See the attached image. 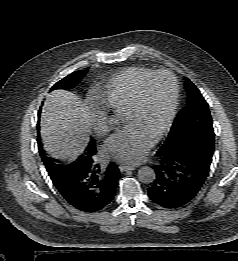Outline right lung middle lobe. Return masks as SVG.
Returning <instances> with one entry per match:
<instances>
[{
    "label": "right lung middle lobe",
    "mask_w": 238,
    "mask_h": 261,
    "mask_svg": "<svg viewBox=\"0 0 238 261\" xmlns=\"http://www.w3.org/2000/svg\"><path fill=\"white\" fill-rule=\"evenodd\" d=\"M87 73L86 71H76L73 72L72 74L66 76L59 82H57L53 87V89H58V88H63V89H71L74 87L80 80L81 78ZM39 141V139H38ZM39 151L40 155L42 156V160L46 166V169L48 171V174L50 178L52 179H58L70 166V164H60V162L52 161L50 158L46 157V154L42 151L41 144L39 143ZM95 146L93 142L91 141L86 149L87 154L95 153Z\"/></svg>",
    "instance_id": "right-lung-middle-lobe-1"
}]
</instances>
